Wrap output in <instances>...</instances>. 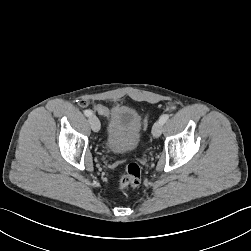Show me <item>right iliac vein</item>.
Here are the masks:
<instances>
[{
  "mask_svg": "<svg viewBox=\"0 0 251 251\" xmlns=\"http://www.w3.org/2000/svg\"><path fill=\"white\" fill-rule=\"evenodd\" d=\"M89 123L94 132H98L100 130V121L95 115L89 117Z\"/></svg>",
  "mask_w": 251,
  "mask_h": 251,
  "instance_id": "1",
  "label": "right iliac vein"
}]
</instances>
